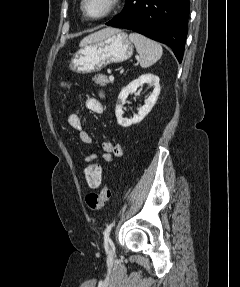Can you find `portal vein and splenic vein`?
<instances>
[{
  "mask_svg": "<svg viewBox=\"0 0 240 287\" xmlns=\"http://www.w3.org/2000/svg\"><path fill=\"white\" fill-rule=\"evenodd\" d=\"M109 79H110V80H114V77L111 75V76L109 77Z\"/></svg>",
  "mask_w": 240,
  "mask_h": 287,
  "instance_id": "obj_1",
  "label": "portal vein and splenic vein"
}]
</instances>
